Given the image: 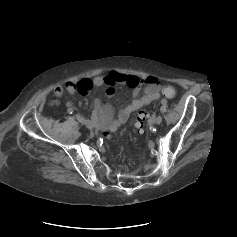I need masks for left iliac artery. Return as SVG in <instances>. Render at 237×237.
Returning a JSON list of instances; mask_svg holds the SVG:
<instances>
[{
	"instance_id": "left-iliac-artery-1",
	"label": "left iliac artery",
	"mask_w": 237,
	"mask_h": 237,
	"mask_svg": "<svg viewBox=\"0 0 237 237\" xmlns=\"http://www.w3.org/2000/svg\"><path fill=\"white\" fill-rule=\"evenodd\" d=\"M161 104H163V105L167 104V100L166 99H162L161 100Z\"/></svg>"
}]
</instances>
